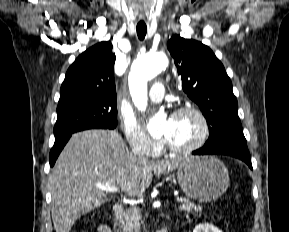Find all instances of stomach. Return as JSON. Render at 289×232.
<instances>
[{
	"label": "stomach",
	"mask_w": 289,
	"mask_h": 232,
	"mask_svg": "<svg viewBox=\"0 0 289 232\" xmlns=\"http://www.w3.org/2000/svg\"><path fill=\"white\" fill-rule=\"evenodd\" d=\"M177 180L185 195L202 202L219 198L228 188L229 173L213 156L187 157L177 167Z\"/></svg>",
	"instance_id": "stomach-1"
}]
</instances>
